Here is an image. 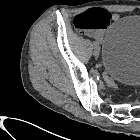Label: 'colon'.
Instances as JSON below:
<instances>
[{"instance_id":"colon-1","label":"colon","mask_w":140,"mask_h":140,"mask_svg":"<svg viewBox=\"0 0 140 140\" xmlns=\"http://www.w3.org/2000/svg\"><path fill=\"white\" fill-rule=\"evenodd\" d=\"M103 14H104V16H105V18L107 20H110V16H109V14L106 11H103ZM85 16H86V13H83V14H80V15L76 16V18L74 20V24H75V26L77 28L85 29V28H83L81 26ZM104 80H105V83L108 86V88L113 89V90H117L118 85H117V83H116V81L114 79H112L111 77L105 75L104 76Z\"/></svg>"}]
</instances>
